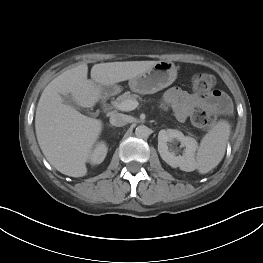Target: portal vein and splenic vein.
Wrapping results in <instances>:
<instances>
[{"label":"portal vein and splenic vein","instance_id":"obj_1","mask_svg":"<svg viewBox=\"0 0 263 263\" xmlns=\"http://www.w3.org/2000/svg\"><path fill=\"white\" fill-rule=\"evenodd\" d=\"M139 103L136 100H126L124 102H121L119 104H116V108L121 111H131L134 110L136 107H138Z\"/></svg>","mask_w":263,"mask_h":263}]
</instances>
